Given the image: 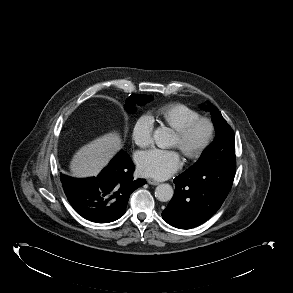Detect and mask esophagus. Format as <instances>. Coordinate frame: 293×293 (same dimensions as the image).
<instances>
[{
    "label": "esophagus",
    "instance_id": "34e87169",
    "mask_svg": "<svg viewBox=\"0 0 293 293\" xmlns=\"http://www.w3.org/2000/svg\"><path fill=\"white\" fill-rule=\"evenodd\" d=\"M147 183L150 184V185H159V182L158 181H155L153 179H148L147 180Z\"/></svg>",
    "mask_w": 293,
    "mask_h": 293
}]
</instances>
